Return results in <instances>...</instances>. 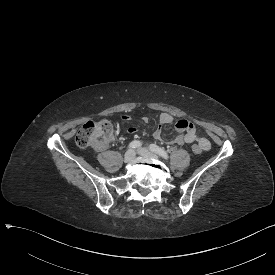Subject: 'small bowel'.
Listing matches in <instances>:
<instances>
[{
  "label": "small bowel",
  "instance_id": "small-bowel-1",
  "mask_svg": "<svg viewBox=\"0 0 275 275\" xmlns=\"http://www.w3.org/2000/svg\"><path fill=\"white\" fill-rule=\"evenodd\" d=\"M123 120L129 121L130 117L128 115H125L123 116ZM172 121H173V116L171 114L169 113L161 114L158 120V125L153 132V137L157 140H162L163 139L162 127L164 125L170 124ZM175 128L179 134L171 141L172 144L182 146V145H187L194 142H202V143H205L206 150L210 148V142L207 139L198 136L196 126L191 121L187 119H180L175 123ZM137 131L138 130L135 126H131L127 132L129 135H135Z\"/></svg>",
  "mask_w": 275,
  "mask_h": 275
}]
</instances>
